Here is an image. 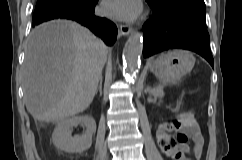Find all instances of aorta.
Masks as SVG:
<instances>
[{"label": "aorta", "instance_id": "aorta-1", "mask_svg": "<svg viewBox=\"0 0 242 160\" xmlns=\"http://www.w3.org/2000/svg\"><path fill=\"white\" fill-rule=\"evenodd\" d=\"M143 50V37L139 32H132L128 38L127 46L123 55V64L129 77H135L140 66V57Z\"/></svg>", "mask_w": 242, "mask_h": 160}]
</instances>
